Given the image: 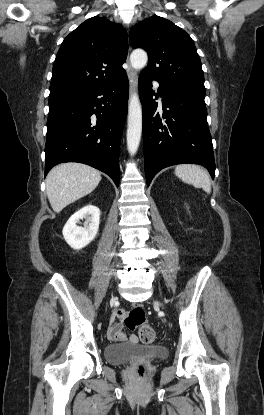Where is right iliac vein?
Masks as SVG:
<instances>
[{
    "mask_svg": "<svg viewBox=\"0 0 264 415\" xmlns=\"http://www.w3.org/2000/svg\"><path fill=\"white\" fill-rule=\"evenodd\" d=\"M117 301V298L116 297H113L112 299H111V301H110V305L112 306V305H114V303Z\"/></svg>",
    "mask_w": 264,
    "mask_h": 415,
    "instance_id": "right-iliac-vein-1",
    "label": "right iliac vein"
}]
</instances>
